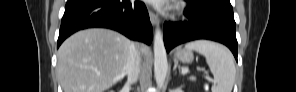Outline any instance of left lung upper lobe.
I'll use <instances>...</instances> for the list:
<instances>
[{"instance_id":"5c2ea615","label":"left lung upper lobe","mask_w":296,"mask_h":92,"mask_svg":"<svg viewBox=\"0 0 296 92\" xmlns=\"http://www.w3.org/2000/svg\"><path fill=\"white\" fill-rule=\"evenodd\" d=\"M206 1H230V0H206Z\"/></svg>"}]
</instances>
